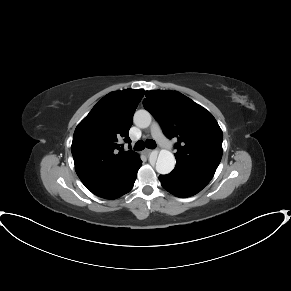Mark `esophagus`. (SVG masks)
I'll return each mask as SVG.
<instances>
[{
  "mask_svg": "<svg viewBox=\"0 0 291 291\" xmlns=\"http://www.w3.org/2000/svg\"><path fill=\"white\" fill-rule=\"evenodd\" d=\"M151 152H152V150L148 149V148L144 149V151H143V153L146 155L150 154Z\"/></svg>",
  "mask_w": 291,
  "mask_h": 291,
  "instance_id": "1",
  "label": "esophagus"
}]
</instances>
